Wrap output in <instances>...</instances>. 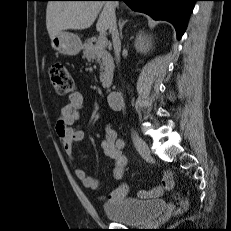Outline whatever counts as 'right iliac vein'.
<instances>
[{
  "label": "right iliac vein",
  "mask_w": 231,
  "mask_h": 231,
  "mask_svg": "<svg viewBox=\"0 0 231 231\" xmlns=\"http://www.w3.org/2000/svg\"><path fill=\"white\" fill-rule=\"evenodd\" d=\"M132 139L136 149L141 154V156L146 159L150 158L151 154L148 144L135 132L132 133Z\"/></svg>",
  "instance_id": "63e3f726"
}]
</instances>
